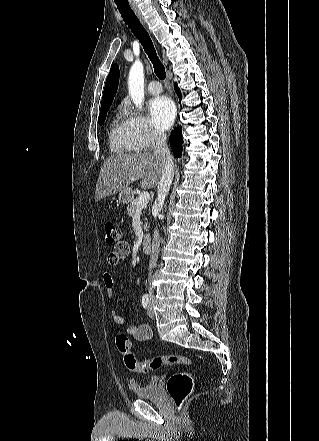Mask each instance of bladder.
Returning <instances> with one entry per match:
<instances>
[{"instance_id":"bladder-1","label":"bladder","mask_w":319,"mask_h":441,"mask_svg":"<svg viewBox=\"0 0 319 441\" xmlns=\"http://www.w3.org/2000/svg\"><path fill=\"white\" fill-rule=\"evenodd\" d=\"M130 387L133 394L138 398H154L159 393V379L157 376H151L147 382L143 384L131 380Z\"/></svg>"}]
</instances>
